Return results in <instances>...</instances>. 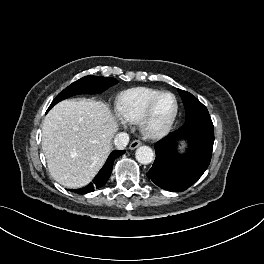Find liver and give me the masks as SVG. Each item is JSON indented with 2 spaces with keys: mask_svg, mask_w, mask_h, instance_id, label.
<instances>
[{
  "mask_svg": "<svg viewBox=\"0 0 264 264\" xmlns=\"http://www.w3.org/2000/svg\"><path fill=\"white\" fill-rule=\"evenodd\" d=\"M118 124L107 106L64 100L46 115L42 149L51 176L67 188L87 185L105 163Z\"/></svg>",
  "mask_w": 264,
  "mask_h": 264,
  "instance_id": "6515ba94",
  "label": "liver"
}]
</instances>
